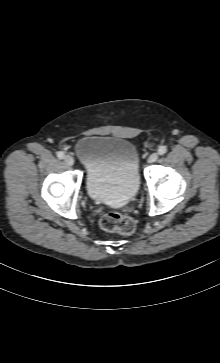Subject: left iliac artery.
I'll return each instance as SVG.
<instances>
[{
    "label": "left iliac artery",
    "instance_id": "left-iliac-artery-1",
    "mask_svg": "<svg viewBox=\"0 0 220 363\" xmlns=\"http://www.w3.org/2000/svg\"><path fill=\"white\" fill-rule=\"evenodd\" d=\"M167 152V148L165 146H160L158 149V154L163 155Z\"/></svg>",
    "mask_w": 220,
    "mask_h": 363
}]
</instances>
